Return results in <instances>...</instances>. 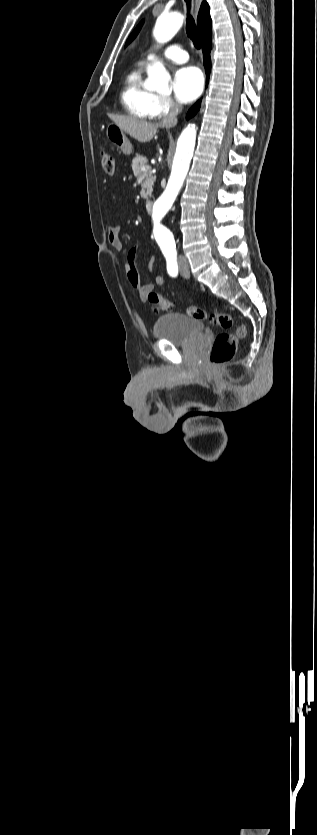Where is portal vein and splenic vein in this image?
<instances>
[{
  "label": "portal vein and splenic vein",
  "instance_id": "1",
  "mask_svg": "<svg viewBox=\"0 0 317 835\" xmlns=\"http://www.w3.org/2000/svg\"><path fill=\"white\" fill-rule=\"evenodd\" d=\"M149 169H150L149 167H142V171H147Z\"/></svg>",
  "mask_w": 317,
  "mask_h": 835
}]
</instances>
